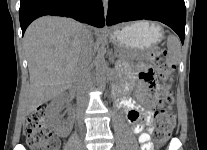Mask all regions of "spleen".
<instances>
[{"mask_svg": "<svg viewBox=\"0 0 207 150\" xmlns=\"http://www.w3.org/2000/svg\"><path fill=\"white\" fill-rule=\"evenodd\" d=\"M167 47L169 53L168 60L174 64L178 63L180 57V49H181L179 38L175 35H170L167 38Z\"/></svg>", "mask_w": 207, "mask_h": 150, "instance_id": "1", "label": "spleen"}]
</instances>
